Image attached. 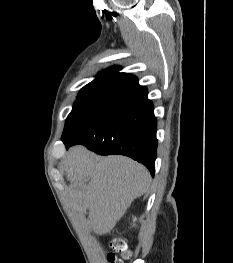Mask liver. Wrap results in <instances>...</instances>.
Wrapping results in <instances>:
<instances>
[{
	"label": "liver",
	"instance_id": "6515ba94",
	"mask_svg": "<svg viewBox=\"0 0 233 263\" xmlns=\"http://www.w3.org/2000/svg\"><path fill=\"white\" fill-rule=\"evenodd\" d=\"M64 170L73 209L89 211V223L98 235L109 233L133 200L149 191L151 182L148 170L130 158L100 157L83 146L68 150Z\"/></svg>",
	"mask_w": 233,
	"mask_h": 263
}]
</instances>
